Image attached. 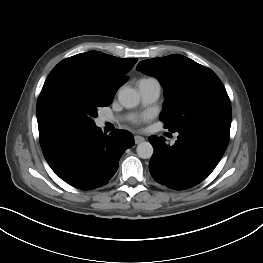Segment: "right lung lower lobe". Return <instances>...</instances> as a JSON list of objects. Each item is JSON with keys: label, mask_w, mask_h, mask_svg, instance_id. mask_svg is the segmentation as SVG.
<instances>
[{"label": "right lung lower lobe", "mask_w": 263, "mask_h": 263, "mask_svg": "<svg viewBox=\"0 0 263 263\" xmlns=\"http://www.w3.org/2000/svg\"><path fill=\"white\" fill-rule=\"evenodd\" d=\"M39 139L52 170L68 184L82 190L106 185L116 173L122 154L135 143L126 130L116 129L107 136L96 126L55 131Z\"/></svg>", "instance_id": "right-lung-lower-lobe-1"}]
</instances>
